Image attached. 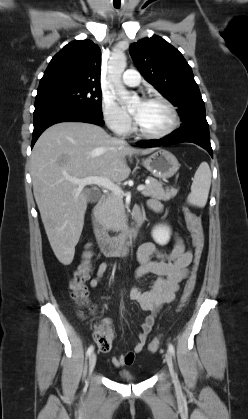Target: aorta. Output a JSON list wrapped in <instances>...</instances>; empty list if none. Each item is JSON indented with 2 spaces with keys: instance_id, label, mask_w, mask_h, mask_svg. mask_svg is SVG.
<instances>
[{
  "instance_id": "aorta-1",
  "label": "aorta",
  "mask_w": 248,
  "mask_h": 419,
  "mask_svg": "<svg viewBox=\"0 0 248 419\" xmlns=\"http://www.w3.org/2000/svg\"><path fill=\"white\" fill-rule=\"evenodd\" d=\"M126 65L127 62L125 54L122 52L114 53L108 62V73L109 78L113 83L114 90L121 97V99L127 103L128 108H130L139 102V97L137 95L130 96V93L122 84L121 77Z\"/></svg>"
}]
</instances>
